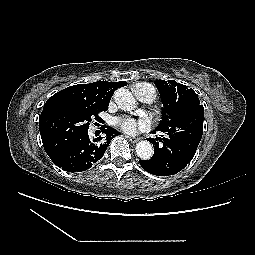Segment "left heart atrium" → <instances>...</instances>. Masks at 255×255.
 <instances>
[{
	"label": "left heart atrium",
	"mask_w": 255,
	"mask_h": 255,
	"mask_svg": "<svg viewBox=\"0 0 255 255\" xmlns=\"http://www.w3.org/2000/svg\"><path fill=\"white\" fill-rule=\"evenodd\" d=\"M114 123L125 132L131 134L145 131L149 127V122L147 120H135L131 117L116 118Z\"/></svg>",
	"instance_id": "1"
}]
</instances>
